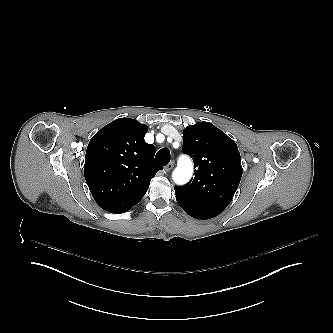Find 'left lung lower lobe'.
<instances>
[{
  "label": "left lung lower lobe",
  "instance_id": "1",
  "mask_svg": "<svg viewBox=\"0 0 333 333\" xmlns=\"http://www.w3.org/2000/svg\"><path fill=\"white\" fill-rule=\"evenodd\" d=\"M177 202L183 210H185L190 216L196 219H210L220 214L211 210L201 209L181 201Z\"/></svg>",
  "mask_w": 333,
  "mask_h": 333
}]
</instances>
